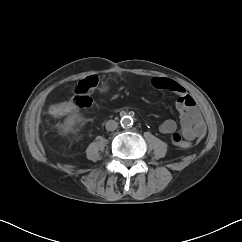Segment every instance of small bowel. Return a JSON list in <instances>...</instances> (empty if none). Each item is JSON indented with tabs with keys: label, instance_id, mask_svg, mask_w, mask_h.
Segmentation results:
<instances>
[{
	"label": "small bowel",
	"instance_id": "small-bowel-1",
	"mask_svg": "<svg viewBox=\"0 0 242 242\" xmlns=\"http://www.w3.org/2000/svg\"><path fill=\"white\" fill-rule=\"evenodd\" d=\"M90 79H97V76H88L81 80L77 86ZM98 84V83H97ZM151 84L158 90H167L177 95L176 108L179 111L180 128L177 131V124L172 119H167L161 123L159 130L165 135H169L171 142L181 149H187L192 141L202 139L206 134V124L194 98L179 83L162 77H155ZM76 106L72 101H68L66 111L63 115L72 112Z\"/></svg>",
	"mask_w": 242,
	"mask_h": 242
}]
</instances>
